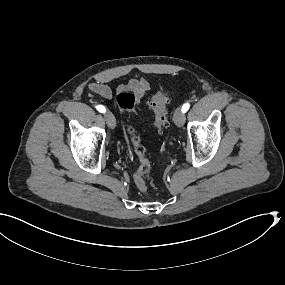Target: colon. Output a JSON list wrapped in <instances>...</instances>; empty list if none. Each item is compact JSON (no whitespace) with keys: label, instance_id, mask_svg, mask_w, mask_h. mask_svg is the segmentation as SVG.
Returning <instances> with one entry per match:
<instances>
[{"label":"colon","instance_id":"obj_1","mask_svg":"<svg viewBox=\"0 0 285 285\" xmlns=\"http://www.w3.org/2000/svg\"><path fill=\"white\" fill-rule=\"evenodd\" d=\"M138 103L136 95L131 91H122L117 95V104L123 113L133 112ZM168 94L165 91L155 93L149 102V107L154 113L153 125L156 129L161 130L168 126ZM127 132L130 136L134 152L139 159V166L134 174V183L141 192L149 190L148 184L145 180L149 173L151 164L146 157V150L141 139L131 126L127 127Z\"/></svg>","mask_w":285,"mask_h":285}]
</instances>
